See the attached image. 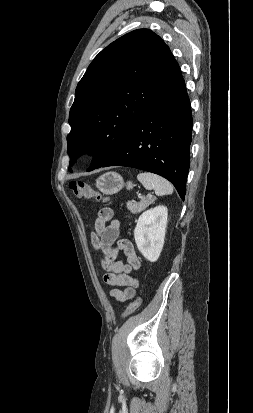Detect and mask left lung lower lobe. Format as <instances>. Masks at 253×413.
Returning <instances> with one entry per match:
<instances>
[{
  "instance_id": "1",
  "label": "left lung lower lobe",
  "mask_w": 253,
  "mask_h": 413,
  "mask_svg": "<svg viewBox=\"0 0 253 413\" xmlns=\"http://www.w3.org/2000/svg\"><path fill=\"white\" fill-rule=\"evenodd\" d=\"M192 123L190 100L177 65L124 143L100 167L127 166L158 174L173 183L184 200Z\"/></svg>"
}]
</instances>
